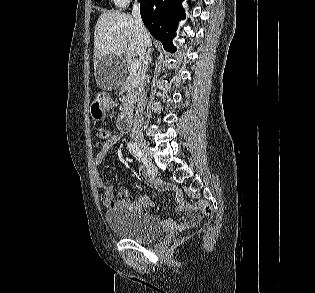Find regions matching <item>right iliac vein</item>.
<instances>
[{
	"label": "right iliac vein",
	"instance_id": "obj_1",
	"mask_svg": "<svg viewBox=\"0 0 315 293\" xmlns=\"http://www.w3.org/2000/svg\"><path fill=\"white\" fill-rule=\"evenodd\" d=\"M135 142L137 143V145L139 146L141 152L143 153V155L146 157V159H148L149 163H150V159H149V147L147 145V142L145 141V139L141 136H136L134 138ZM151 165V163H150Z\"/></svg>",
	"mask_w": 315,
	"mask_h": 293
}]
</instances>
